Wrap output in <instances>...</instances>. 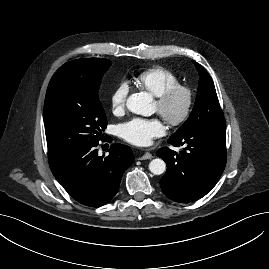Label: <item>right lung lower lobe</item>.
I'll list each match as a JSON object with an SVG mask.
<instances>
[{
  "label": "right lung lower lobe",
  "mask_w": 269,
  "mask_h": 269,
  "mask_svg": "<svg viewBox=\"0 0 269 269\" xmlns=\"http://www.w3.org/2000/svg\"><path fill=\"white\" fill-rule=\"evenodd\" d=\"M98 142L49 156L51 171L79 203L99 207L117 193L121 177L134 156L130 147L113 144L108 156H99Z\"/></svg>",
  "instance_id": "right-lung-lower-lobe-1"
}]
</instances>
